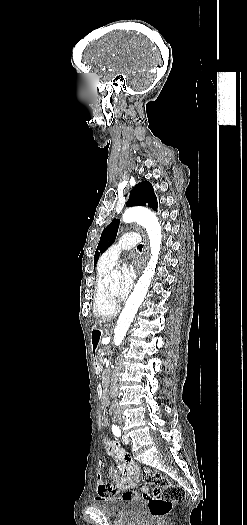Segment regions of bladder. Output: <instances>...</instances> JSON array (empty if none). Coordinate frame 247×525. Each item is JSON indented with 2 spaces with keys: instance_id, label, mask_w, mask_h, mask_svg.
Returning a JSON list of instances; mask_svg holds the SVG:
<instances>
[{
  "instance_id": "31cf9c89",
  "label": "bladder",
  "mask_w": 247,
  "mask_h": 525,
  "mask_svg": "<svg viewBox=\"0 0 247 525\" xmlns=\"http://www.w3.org/2000/svg\"><path fill=\"white\" fill-rule=\"evenodd\" d=\"M92 505L107 517L124 518L139 513L143 506V499L103 498L94 500Z\"/></svg>"
}]
</instances>
